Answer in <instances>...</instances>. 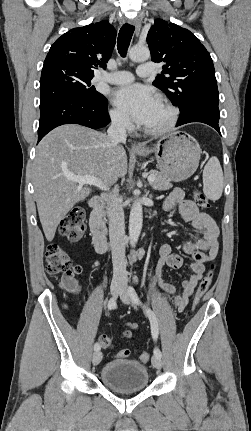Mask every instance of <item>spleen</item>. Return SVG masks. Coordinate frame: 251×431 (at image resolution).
I'll return each instance as SVG.
<instances>
[{
	"label": "spleen",
	"instance_id": "spleen-1",
	"mask_svg": "<svg viewBox=\"0 0 251 431\" xmlns=\"http://www.w3.org/2000/svg\"><path fill=\"white\" fill-rule=\"evenodd\" d=\"M223 171L217 157L209 159L203 170V192L210 200H218L223 192Z\"/></svg>",
	"mask_w": 251,
	"mask_h": 431
}]
</instances>
